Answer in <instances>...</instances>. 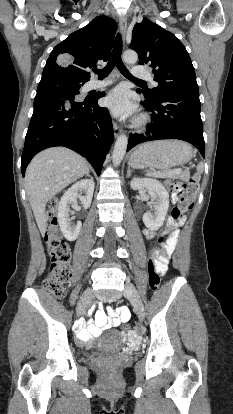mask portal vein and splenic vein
Wrapping results in <instances>:
<instances>
[{
  "mask_svg": "<svg viewBox=\"0 0 233 414\" xmlns=\"http://www.w3.org/2000/svg\"><path fill=\"white\" fill-rule=\"evenodd\" d=\"M181 171V169H176V170H174L173 172H175V173H178V172H180ZM157 172H153V174H156Z\"/></svg>",
  "mask_w": 233,
  "mask_h": 414,
  "instance_id": "1",
  "label": "portal vein and splenic vein"
}]
</instances>
